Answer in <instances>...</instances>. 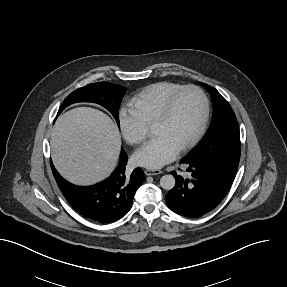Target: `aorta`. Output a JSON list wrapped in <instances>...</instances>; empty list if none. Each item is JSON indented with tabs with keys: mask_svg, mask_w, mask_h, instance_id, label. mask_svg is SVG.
I'll return each instance as SVG.
<instances>
[{
	"mask_svg": "<svg viewBox=\"0 0 287 287\" xmlns=\"http://www.w3.org/2000/svg\"><path fill=\"white\" fill-rule=\"evenodd\" d=\"M160 186L165 190H171L175 186V178L173 175H164L160 179Z\"/></svg>",
	"mask_w": 287,
	"mask_h": 287,
	"instance_id": "obj_1",
	"label": "aorta"
}]
</instances>
